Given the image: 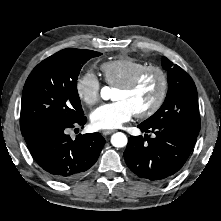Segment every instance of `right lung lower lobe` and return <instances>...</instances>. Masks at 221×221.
<instances>
[{"instance_id": "right-lung-lower-lobe-1", "label": "right lung lower lobe", "mask_w": 221, "mask_h": 221, "mask_svg": "<svg viewBox=\"0 0 221 221\" xmlns=\"http://www.w3.org/2000/svg\"><path fill=\"white\" fill-rule=\"evenodd\" d=\"M86 117L71 123L51 124L24 139L38 166L55 180L67 182L84 175L97 161L105 144L99 133L79 134L75 140L68 130L84 127Z\"/></svg>"}]
</instances>
